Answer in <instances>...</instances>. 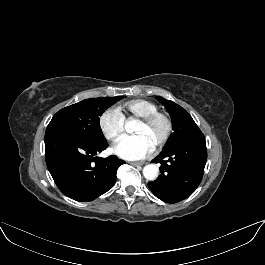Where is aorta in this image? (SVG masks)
Instances as JSON below:
<instances>
[{
	"instance_id": "1",
	"label": "aorta",
	"mask_w": 265,
	"mask_h": 265,
	"mask_svg": "<svg viewBox=\"0 0 265 265\" xmlns=\"http://www.w3.org/2000/svg\"><path fill=\"white\" fill-rule=\"evenodd\" d=\"M135 122L129 120L125 123V130L128 133H132L134 131ZM158 167L154 164H148L143 168V175L148 180H154L158 176Z\"/></svg>"
}]
</instances>
